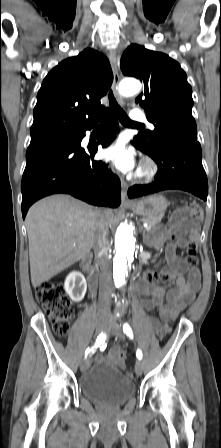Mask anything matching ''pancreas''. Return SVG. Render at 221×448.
Instances as JSON below:
<instances>
[{
	"label": "pancreas",
	"instance_id": "obj_1",
	"mask_svg": "<svg viewBox=\"0 0 221 448\" xmlns=\"http://www.w3.org/2000/svg\"><path fill=\"white\" fill-rule=\"evenodd\" d=\"M163 214L162 215H158V216H151V217H145L142 218L141 221L144 223H148L151 228H154L158 223L161 222L162 218H163Z\"/></svg>",
	"mask_w": 221,
	"mask_h": 448
}]
</instances>
